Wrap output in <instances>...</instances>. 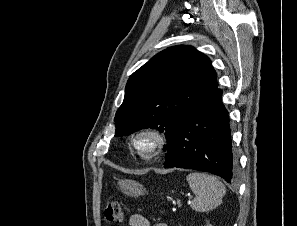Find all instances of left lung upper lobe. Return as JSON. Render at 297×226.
I'll return each instance as SVG.
<instances>
[{
  "instance_id": "obj_1",
  "label": "left lung upper lobe",
  "mask_w": 297,
  "mask_h": 226,
  "mask_svg": "<svg viewBox=\"0 0 297 226\" xmlns=\"http://www.w3.org/2000/svg\"><path fill=\"white\" fill-rule=\"evenodd\" d=\"M210 59L192 46L170 47L128 79L116 112V136L142 128L165 132L168 150L183 120L198 101L217 88Z\"/></svg>"
}]
</instances>
